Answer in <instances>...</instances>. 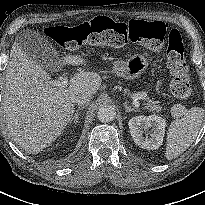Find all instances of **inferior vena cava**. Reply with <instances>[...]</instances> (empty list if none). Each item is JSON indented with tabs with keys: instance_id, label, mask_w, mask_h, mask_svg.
Wrapping results in <instances>:
<instances>
[{
	"instance_id": "602c4592",
	"label": "inferior vena cava",
	"mask_w": 205,
	"mask_h": 205,
	"mask_svg": "<svg viewBox=\"0 0 205 205\" xmlns=\"http://www.w3.org/2000/svg\"><path fill=\"white\" fill-rule=\"evenodd\" d=\"M92 99V94L89 92H83L78 94L75 97V103H77L78 105H85L87 103H89V101Z\"/></svg>"
}]
</instances>
